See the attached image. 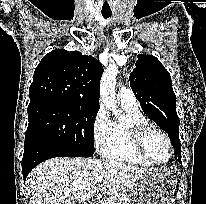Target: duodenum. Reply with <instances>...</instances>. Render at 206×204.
<instances>
[{
	"mask_svg": "<svg viewBox=\"0 0 206 204\" xmlns=\"http://www.w3.org/2000/svg\"><path fill=\"white\" fill-rule=\"evenodd\" d=\"M89 204H98V202L96 200H93Z\"/></svg>",
	"mask_w": 206,
	"mask_h": 204,
	"instance_id": "obj_1",
	"label": "duodenum"
}]
</instances>
